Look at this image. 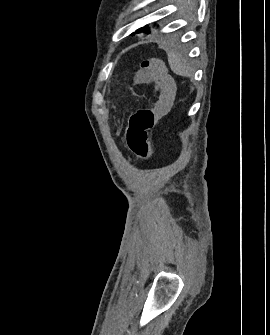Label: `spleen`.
I'll return each instance as SVG.
<instances>
[{
  "label": "spleen",
  "mask_w": 270,
  "mask_h": 335,
  "mask_svg": "<svg viewBox=\"0 0 270 335\" xmlns=\"http://www.w3.org/2000/svg\"><path fill=\"white\" fill-rule=\"evenodd\" d=\"M168 62L174 74H177V76H185V78H191L193 70L186 58L182 56L181 52H176V50L168 52Z\"/></svg>",
  "instance_id": "1"
}]
</instances>
